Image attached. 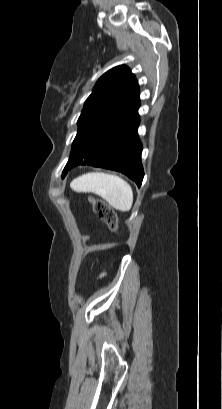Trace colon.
<instances>
[{"label": "colon", "mask_w": 222, "mask_h": 409, "mask_svg": "<svg viewBox=\"0 0 222 409\" xmlns=\"http://www.w3.org/2000/svg\"><path fill=\"white\" fill-rule=\"evenodd\" d=\"M94 212L99 218L107 224L112 232H117L119 229L118 217L115 211L104 201L98 198L90 200Z\"/></svg>", "instance_id": "obj_1"}]
</instances>
